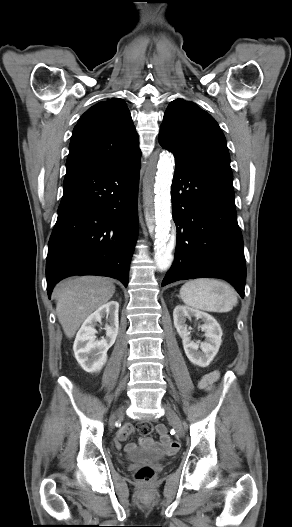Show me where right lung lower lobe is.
I'll list each match as a JSON object with an SVG mask.
<instances>
[{"label": "right lung lower lobe", "instance_id": "obj_1", "mask_svg": "<svg viewBox=\"0 0 292 527\" xmlns=\"http://www.w3.org/2000/svg\"><path fill=\"white\" fill-rule=\"evenodd\" d=\"M141 155V154H140ZM140 155L66 172L48 243L47 292L72 275H101L128 285L137 231Z\"/></svg>", "mask_w": 292, "mask_h": 527}]
</instances>
